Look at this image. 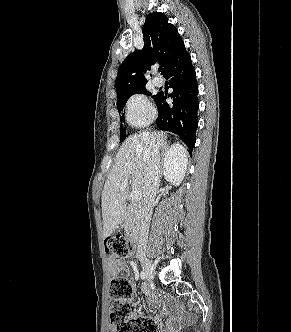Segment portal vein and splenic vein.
<instances>
[{
    "instance_id": "obj_1",
    "label": "portal vein and splenic vein",
    "mask_w": 291,
    "mask_h": 332,
    "mask_svg": "<svg viewBox=\"0 0 291 332\" xmlns=\"http://www.w3.org/2000/svg\"><path fill=\"white\" fill-rule=\"evenodd\" d=\"M128 186L127 181H123L120 185L121 190L125 189ZM131 200L132 201H139L142 198V193L140 191H132L130 194Z\"/></svg>"
}]
</instances>
